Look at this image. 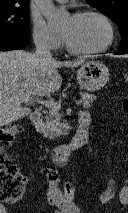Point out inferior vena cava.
Returning <instances> with one entry per match:
<instances>
[{
  "instance_id": "inferior-vena-cava-1",
  "label": "inferior vena cava",
  "mask_w": 128,
  "mask_h": 213,
  "mask_svg": "<svg viewBox=\"0 0 128 213\" xmlns=\"http://www.w3.org/2000/svg\"><path fill=\"white\" fill-rule=\"evenodd\" d=\"M36 45V57L43 63H48L53 60L50 52V44L46 37L42 36L35 40Z\"/></svg>"
}]
</instances>
